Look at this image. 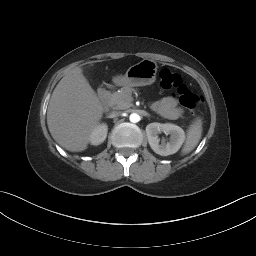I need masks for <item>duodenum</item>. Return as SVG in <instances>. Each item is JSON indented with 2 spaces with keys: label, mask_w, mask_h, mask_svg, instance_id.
I'll use <instances>...</instances> for the list:
<instances>
[{
  "label": "duodenum",
  "mask_w": 256,
  "mask_h": 256,
  "mask_svg": "<svg viewBox=\"0 0 256 256\" xmlns=\"http://www.w3.org/2000/svg\"><path fill=\"white\" fill-rule=\"evenodd\" d=\"M98 98L101 106L105 107L109 101V91L106 88H101L98 92Z\"/></svg>",
  "instance_id": "obj_1"
}]
</instances>
